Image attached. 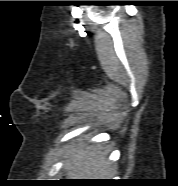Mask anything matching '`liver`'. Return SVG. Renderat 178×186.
<instances>
[{
    "label": "liver",
    "instance_id": "6515ba94",
    "mask_svg": "<svg viewBox=\"0 0 178 186\" xmlns=\"http://www.w3.org/2000/svg\"><path fill=\"white\" fill-rule=\"evenodd\" d=\"M108 151L102 145L78 143L65 155L64 169L70 179H110L115 171L107 161Z\"/></svg>",
    "mask_w": 178,
    "mask_h": 186
}]
</instances>
